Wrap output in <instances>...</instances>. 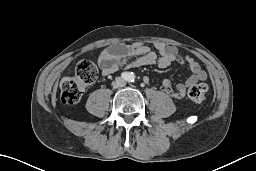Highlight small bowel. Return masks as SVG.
<instances>
[{"mask_svg":"<svg viewBox=\"0 0 256 171\" xmlns=\"http://www.w3.org/2000/svg\"><path fill=\"white\" fill-rule=\"evenodd\" d=\"M173 62L187 66L191 75L183 83L175 87L170 79H164L162 90L173 99L183 98L187 90L200 81L207 79L206 72L200 64L189 56L181 57L175 46L165 42H135L131 44H114L102 51L98 58V65L102 76H108L121 68L157 65L167 68Z\"/></svg>","mask_w":256,"mask_h":171,"instance_id":"small-bowel-1","label":"small bowel"}]
</instances>
